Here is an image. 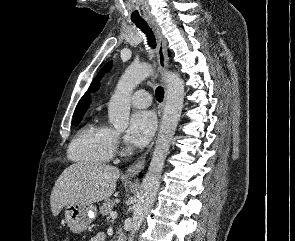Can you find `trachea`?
I'll use <instances>...</instances> for the list:
<instances>
[{"label":"trachea","mask_w":295,"mask_h":241,"mask_svg":"<svg viewBox=\"0 0 295 241\" xmlns=\"http://www.w3.org/2000/svg\"><path fill=\"white\" fill-rule=\"evenodd\" d=\"M135 23V25L140 28L142 30V32H144L147 36V40H148V45L152 48L156 47V40H155V36L152 33L151 29L147 26L146 22L144 20H137V21H133ZM156 99L158 102H162L163 98H164V89L162 87H157L156 88Z\"/></svg>","instance_id":"1"}]
</instances>
